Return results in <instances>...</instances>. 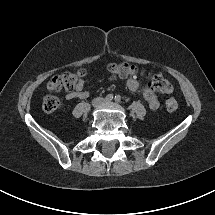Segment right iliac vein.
I'll return each instance as SVG.
<instances>
[{
  "mask_svg": "<svg viewBox=\"0 0 215 215\" xmlns=\"http://www.w3.org/2000/svg\"><path fill=\"white\" fill-rule=\"evenodd\" d=\"M101 103H102V101H101L100 99H95V100L93 101V106H94V107H98Z\"/></svg>",
  "mask_w": 215,
  "mask_h": 215,
  "instance_id": "63e3f726",
  "label": "right iliac vein"
}]
</instances>
